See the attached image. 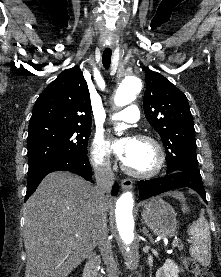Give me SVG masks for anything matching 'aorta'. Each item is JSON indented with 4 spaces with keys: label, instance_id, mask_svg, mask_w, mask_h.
I'll use <instances>...</instances> for the list:
<instances>
[{
    "label": "aorta",
    "instance_id": "obj_1",
    "mask_svg": "<svg viewBox=\"0 0 221 277\" xmlns=\"http://www.w3.org/2000/svg\"><path fill=\"white\" fill-rule=\"evenodd\" d=\"M142 89V81L135 75L126 76L119 84L114 103L117 106H126L133 102L136 95ZM122 124L118 131L124 130ZM134 198L130 191L122 193L116 201L115 216L112 226L114 237L125 260L133 265L139 257V242L133 217Z\"/></svg>",
    "mask_w": 221,
    "mask_h": 277
}]
</instances>
